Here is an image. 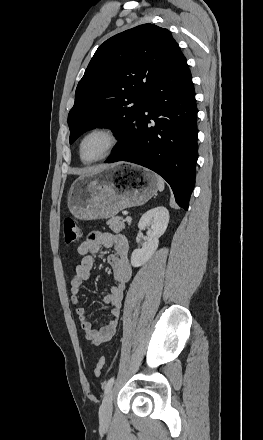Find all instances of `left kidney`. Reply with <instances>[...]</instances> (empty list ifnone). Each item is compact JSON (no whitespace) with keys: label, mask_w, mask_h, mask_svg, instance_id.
Segmentation results:
<instances>
[{"label":"left kidney","mask_w":263,"mask_h":440,"mask_svg":"<svg viewBox=\"0 0 263 440\" xmlns=\"http://www.w3.org/2000/svg\"><path fill=\"white\" fill-rule=\"evenodd\" d=\"M169 223V211L158 206L143 214L138 223L140 230L147 229V242L141 249H135L131 255V265L140 267L153 256L159 245V238L164 234Z\"/></svg>","instance_id":"5707ae66"}]
</instances>
